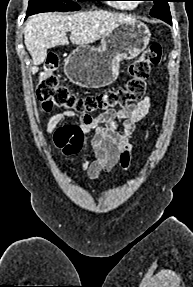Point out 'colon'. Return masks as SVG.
Returning a JSON list of instances; mask_svg holds the SVG:
<instances>
[{
	"instance_id": "5ec220e1",
	"label": "colon",
	"mask_w": 193,
	"mask_h": 287,
	"mask_svg": "<svg viewBox=\"0 0 193 287\" xmlns=\"http://www.w3.org/2000/svg\"><path fill=\"white\" fill-rule=\"evenodd\" d=\"M161 58L162 47L159 43H154L138 59L130 63L129 79L125 86L98 94L79 95L61 83L58 75V57L55 53H49L38 77L36 94L45 110L59 107L74 111L80 115L84 125L91 126L90 120H98L101 115L116 107H125L141 100L150 68L159 64Z\"/></svg>"
}]
</instances>
